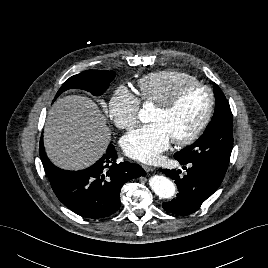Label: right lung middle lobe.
<instances>
[{
  "label": "right lung middle lobe",
  "mask_w": 268,
  "mask_h": 268,
  "mask_svg": "<svg viewBox=\"0 0 268 268\" xmlns=\"http://www.w3.org/2000/svg\"><path fill=\"white\" fill-rule=\"evenodd\" d=\"M114 71L87 70L70 77L59 89L55 99L70 88L83 89L93 95L100 96L114 79Z\"/></svg>",
  "instance_id": "obj_1"
}]
</instances>
